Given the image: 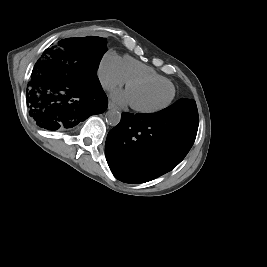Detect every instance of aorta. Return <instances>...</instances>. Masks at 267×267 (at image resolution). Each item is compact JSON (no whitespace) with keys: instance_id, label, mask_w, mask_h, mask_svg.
<instances>
[{"instance_id":"762f6f07","label":"aorta","mask_w":267,"mask_h":267,"mask_svg":"<svg viewBox=\"0 0 267 267\" xmlns=\"http://www.w3.org/2000/svg\"><path fill=\"white\" fill-rule=\"evenodd\" d=\"M105 119L109 125L116 126L120 122L121 114L119 111L111 109L106 112Z\"/></svg>"}]
</instances>
